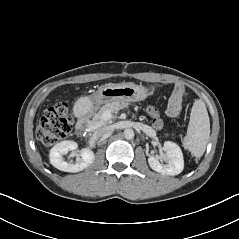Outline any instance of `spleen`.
<instances>
[{"instance_id": "obj_1", "label": "spleen", "mask_w": 239, "mask_h": 239, "mask_svg": "<svg viewBox=\"0 0 239 239\" xmlns=\"http://www.w3.org/2000/svg\"><path fill=\"white\" fill-rule=\"evenodd\" d=\"M210 136V121L205 103L201 99L195 100L187 134L183 139V146L193 156L200 158L206 149Z\"/></svg>"}]
</instances>
